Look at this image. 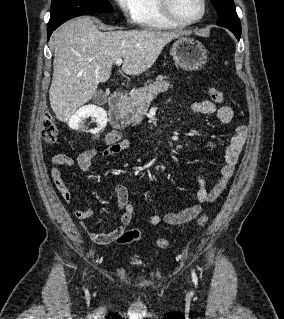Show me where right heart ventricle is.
<instances>
[{
	"label": "right heart ventricle",
	"mask_w": 284,
	"mask_h": 319,
	"mask_svg": "<svg viewBox=\"0 0 284 319\" xmlns=\"http://www.w3.org/2000/svg\"><path fill=\"white\" fill-rule=\"evenodd\" d=\"M137 24L144 29H174L182 26L168 20L159 8L158 0H140Z\"/></svg>",
	"instance_id": "right-heart-ventricle-1"
}]
</instances>
